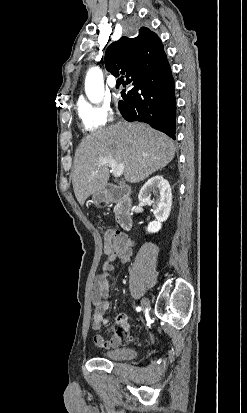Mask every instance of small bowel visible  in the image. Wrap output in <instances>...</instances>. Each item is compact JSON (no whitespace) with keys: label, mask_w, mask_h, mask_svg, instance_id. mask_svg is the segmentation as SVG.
I'll use <instances>...</instances> for the list:
<instances>
[{"label":"small bowel","mask_w":247,"mask_h":413,"mask_svg":"<svg viewBox=\"0 0 247 413\" xmlns=\"http://www.w3.org/2000/svg\"><path fill=\"white\" fill-rule=\"evenodd\" d=\"M132 255L133 252L130 247L118 252H109L108 258L102 267V272L95 278L92 284L91 303L93 306V313L91 328L95 332L99 331L103 325L108 323L106 319V314L110 310L108 298L110 296L112 274L116 269V264L129 263ZM117 320L120 326L114 329V333L110 339H107L100 334L94 336V343L98 347L115 348L130 341V336L128 335L129 325L124 310H119L117 312ZM136 328L140 329L141 325L137 324Z\"/></svg>","instance_id":"c3829d8e"}]
</instances>
